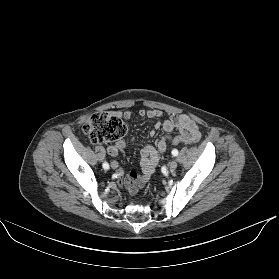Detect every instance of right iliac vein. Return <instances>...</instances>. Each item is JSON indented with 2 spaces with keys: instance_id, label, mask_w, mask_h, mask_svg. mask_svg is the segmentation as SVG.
Wrapping results in <instances>:
<instances>
[{
  "instance_id": "1",
  "label": "right iliac vein",
  "mask_w": 279,
  "mask_h": 279,
  "mask_svg": "<svg viewBox=\"0 0 279 279\" xmlns=\"http://www.w3.org/2000/svg\"><path fill=\"white\" fill-rule=\"evenodd\" d=\"M111 167H112L113 169H116V168L118 167V163H117L116 161H112V162H111Z\"/></svg>"
}]
</instances>
